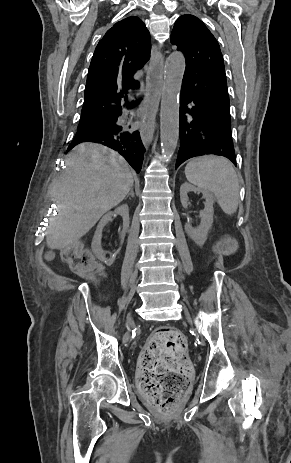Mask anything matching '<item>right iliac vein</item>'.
Returning a JSON list of instances; mask_svg holds the SVG:
<instances>
[{
	"label": "right iliac vein",
	"mask_w": 291,
	"mask_h": 463,
	"mask_svg": "<svg viewBox=\"0 0 291 463\" xmlns=\"http://www.w3.org/2000/svg\"><path fill=\"white\" fill-rule=\"evenodd\" d=\"M127 323H128L129 325L132 324V317H131V315H129V316L127 317Z\"/></svg>",
	"instance_id": "1"
}]
</instances>
